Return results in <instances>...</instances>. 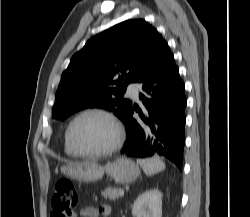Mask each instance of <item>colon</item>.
I'll return each instance as SVG.
<instances>
[{
  "label": "colon",
  "instance_id": "5ec220e1",
  "mask_svg": "<svg viewBox=\"0 0 250 217\" xmlns=\"http://www.w3.org/2000/svg\"><path fill=\"white\" fill-rule=\"evenodd\" d=\"M78 203L74 184L69 179H60L54 187L51 198V217H71Z\"/></svg>",
  "mask_w": 250,
  "mask_h": 217
}]
</instances>
